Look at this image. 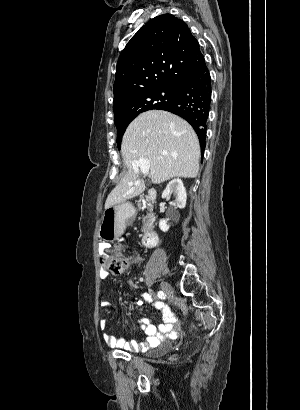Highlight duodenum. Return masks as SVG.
<instances>
[{
    "instance_id": "410a0bca",
    "label": "duodenum",
    "mask_w": 300,
    "mask_h": 410,
    "mask_svg": "<svg viewBox=\"0 0 300 410\" xmlns=\"http://www.w3.org/2000/svg\"><path fill=\"white\" fill-rule=\"evenodd\" d=\"M158 197L156 191H150L148 198L154 202ZM158 243V233L155 230H147L142 238V245L146 248L155 247Z\"/></svg>"
}]
</instances>
